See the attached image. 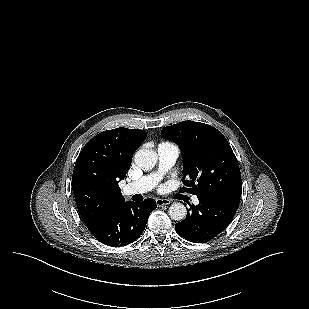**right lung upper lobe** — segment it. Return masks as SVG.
<instances>
[{
    "label": "right lung upper lobe",
    "mask_w": 309,
    "mask_h": 309,
    "mask_svg": "<svg viewBox=\"0 0 309 309\" xmlns=\"http://www.w3.org/2000/svg\"><path fill=\"white\" fill-rule=\"evenodd\" d=\"M144 130L116 128L94 136L79 154L72 176L78 211L86 226L124 201L119 181L145 139Z\"/></svg>",
    "instance_id": "1"
}]
</instances>
